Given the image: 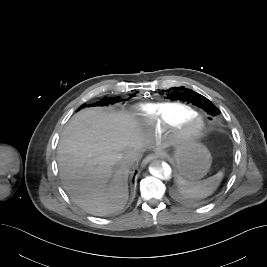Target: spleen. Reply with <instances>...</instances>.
Masks as SVG:
<instances>
[{
    "label": "spleen",
    "instance_id": "3e777b00",
    "mask_svg": "<svg viewBox=\"0 0 267 267\" xmlns=\"http://www.w3.org/2000/svg\"><path fill=\"white\" fill-rule=\"evenodd\" d=\"M223 178V172L204 179L202 181L190 182L184 178H178L179 191L182 195L189 198H203L211 195L219 186Z\"/></svg>",
    "mask_w": 267,
    "mask_h": 267
}]
</instances>
